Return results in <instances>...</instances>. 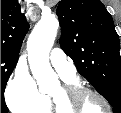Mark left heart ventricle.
Here are the masks:
<instances>
[{
  "instance_id": "obj_1",
  "label": "left heart ventricle",
  "mask_w": 121,
  "mask_h": 113,
  "mask_svg": "<svg viewBox=\"0 0 121 113\" xmlns=\"http://www.w3.org/2000/svg\"><path fill=\"white\" fill-rule=\"evenodd\" d=\"M51 95L60 96V88L56 89ZM76 109L81 110L82 112L105 113V106L103 103L91 94L83 95Z\"/></svg>"
}]
</instances>
